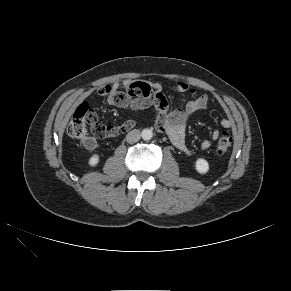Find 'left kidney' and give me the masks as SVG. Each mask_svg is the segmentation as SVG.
Wrapping results in <instances>:
<instances>
[{
    "label": "left kidney",
    "instance_id": "1",
    "mask_svg": "<svg viewBox=\"0 0 291 291\" xmlns=\"http://www.w3.org/2000/svg\"><path fill=\"white\" fill-rule=\"evenodd\" d=\"M195 167H196L197 172L200 173V174H205L209 170V164L203 158H199V159L196 160Z\"/></svg>",
    "mask_w": 291,
    "mask_h": 291
}]
</instances>
